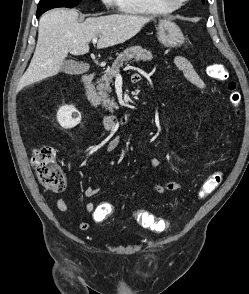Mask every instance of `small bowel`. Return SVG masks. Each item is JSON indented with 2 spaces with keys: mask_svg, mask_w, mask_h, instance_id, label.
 Masks as SVG:
<instances>
[{
  "mask_svg": "<svg viewBox=\"0 0 249 294\" xmlns=\"http://www.w3.org/2000/svg\"><path fill=\"white\" fill-rule=\"evenodd\" d=\"M174 64L177 66V68L182 72L184 77L195 87H197L200 90L205 89V83L200 78L196 70L194 69L193 65L183 56H175L173 59ZM137 76H140L138 74L133 75L132 80L134 82L137 81ZM120 144V138L118 136L111 139V141L107 144L106 151L111 152L115 150L118 145ZM161 165V160L159 158H152L150 160V167L152 169H157ZM184 186L183 182L178 181H170V182H153L151 184V190L156 194H165L167 192L177 191L181 189ZM100 191L99 186H88L84 190V195L86 197H93ZM108 206H111V204L107 202H101V203H94V202H88L85 205L86 212L90 215L92 220L96 223H100L109 216H111L112 213L107 212ZM56 207L61 212H67L69 211V205L68 203L61 197H59L56 200ZM90 224L86 221H82L79 223V229L80 230H88Z\"/></svg>",
  "mask_w": 249,
  "mask_h": 294,
  "instance_id": "small-bowel-1",
  "label": "small bowel"
}]
</instances>
